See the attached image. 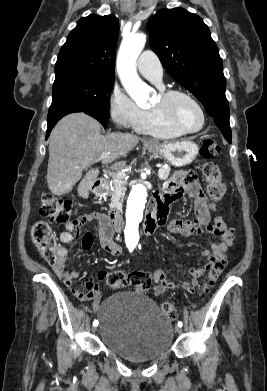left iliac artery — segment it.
<instances>
[{
    "label": "left iliac artery",
    "instance_id": "left-iliac-artery-1",
    "mask_svg": "<svg viewBox=\"0 0 267 391\" xmlns=\"http://www.w3.org/2000/svg\"><path fill=\"white\" fill-rule=\"evenodd\" d=\"M182 325H183L182 322L179 321V322H178V326H179V327H182Z\"/></svg>",
    "mask_w": 267,
    "mask_h": 391
}]
</instances>
